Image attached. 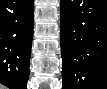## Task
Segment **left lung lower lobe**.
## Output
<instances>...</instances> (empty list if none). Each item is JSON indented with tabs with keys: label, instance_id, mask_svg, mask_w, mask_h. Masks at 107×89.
Returning <instances> with one entry per match:
<instances>
[{
	"label": "left lung lower lobe",
	"instance_id": "0a47b994",
	"mask_svg": "<svg viewBox=\"0 0 107 89\" xmlns=\"http://www.w3.org/2000/svg\"><path fill=\"white\" fill-rule=\"evenodd\" d=\"M62 89H107V0H61Z\"/></svg>",
	"mask_w": 107,
	"mask_h": 89
}]
</instances>
